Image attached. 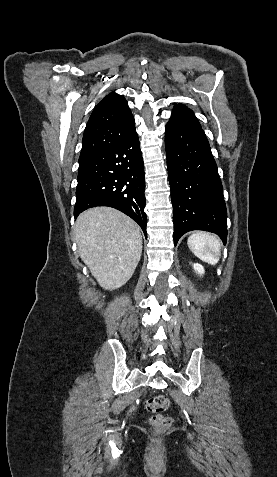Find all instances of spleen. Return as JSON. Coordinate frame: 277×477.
Here are the masks:
<instances>
[{"label": "spleen", "instance_id": "spleen-1", "mask_svg": "<svg viewBox=\"0 0 277 477\" xmlns=\"http://www.w3.org/2000/svg\"><path fill=\"white\" fill-rule=\"evenodd\" d=\"M187 244L194 255L202 261L212 265L219 262L221 243L215 236L205 232H196L189 236Z\"/></svg>", "mask_w": 277, "mask_h": 477}]
</instances>
